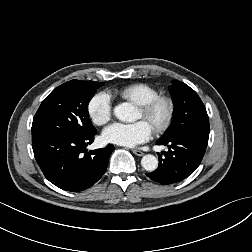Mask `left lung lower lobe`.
Wrapping results in <instances>:
<instances>
[{
  "instance_id": "left-lung-lower-lobe-1",
  "label": "left lung lower lobe",
  "mask_w": 252,
  "mask_h": 252,
  "mask_svg": "<svg viewBox=\"0 0 252 252\" xmlns=\"http://www.w3.org/2000/svg\"><path fill=\"white\" fill-rule=\"evenodd\" d=\"M208 138L209 133L193 131L168 140L159 139L157 144L167 146L168 151L158 153V168L146 175L161 184H173L185 179L201 163Z\"/></svg>"
}]
</instances>
